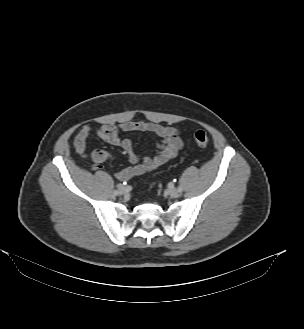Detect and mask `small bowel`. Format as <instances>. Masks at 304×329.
Masks as SVG:
<instances>
[{
	"mask_svg": "<svg viewBox=\"0 0 304 329\" xmlns=\"http://www.w3.org/2000/svg\"><path fill=\"white\" fill-rule=\"evenodd\" d=\"M91 131L92 129L89 125L82 126L73 141L75 151L83 157L86 156V141ZM120 131L149 132L160 138L163 143L155 157H140L134 151L132 141L122 138ZM96 132L103 141L121 147L132 163L131 167L124 168L116 173V177L122 181L130 180L156 169L158 166L174 158L182 147V140L177 129L145 120L126 121L119 126L102 125L97 128ZM111 158L112 154L102 149H96L90 154V159L94 163H102Z\"/></svg>",
	"mask_w": 304,
	"mask_h": 329,
	"instance_id": "small-bowel-1",
	"label": "small bowel"
}]
</instances>
